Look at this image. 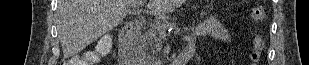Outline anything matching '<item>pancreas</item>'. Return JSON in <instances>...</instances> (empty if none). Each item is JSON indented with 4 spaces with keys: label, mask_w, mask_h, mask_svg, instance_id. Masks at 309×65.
Wrapping results in <instances>:
<instances>
[{
    "label": "pancreas",
    "mask_w": 309,
    "mask_h": 65,
    "mask_svg": "<svg viewBox=\"0 0 309 65\" xmlns=\"http://www.w3.org/2000/svg\"><path fill=\"white\" fill-rule=\"evenodd\" d=\"M157 22L167 27L166 22L161 19L152 22L144 33L137 36L135 44L136 54L151 62L162 48L163 29H157Z\"/></svg>",
    "instance_id": "cf45deb5"
}]
</instances>
